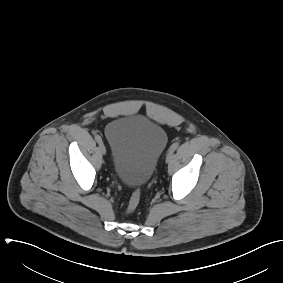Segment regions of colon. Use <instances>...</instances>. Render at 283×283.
Here are the masks:
<instances>
[{"instance_id":"obj_1","label":"colon","mask_w":283,"mask_h":283,"mask_svg":"<svg viewBox=\"0 0 283 283\" xmlns=\"http://www.w3.org/2000/svg\"><path fill=\"white\" fill-rule=\"evenodd\" d=\"M140 197H141V190L136 189L130 197L128 206L126 208L127 213H131V212L136 210V208L138 207V204L140 202Z\"/></svg>"}]
</instances>
